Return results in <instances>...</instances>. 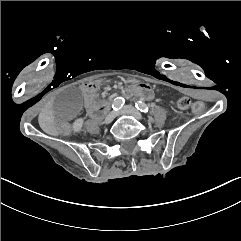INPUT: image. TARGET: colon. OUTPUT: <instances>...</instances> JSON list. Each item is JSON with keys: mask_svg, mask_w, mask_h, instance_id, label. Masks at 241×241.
<instances>
[{"mask_svg": "<svg viewBox=\"0 0 241 241\" xmlns=\"http://www.w3.org/2000/svg\"><path fill=\"white\" fill-rule=\"evenodd\" d=\"M177 107L181 110H187L191 107V101L188 98H179L177 100ZM192 108L195 113H202L208 108L206 101L195 100L192 103Z\"/></svg>", "mask_w": 241, "mask_h": 241, "instance_id": "colon-1", "label": "colon"}]
</instances>
